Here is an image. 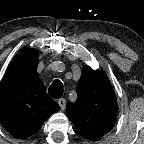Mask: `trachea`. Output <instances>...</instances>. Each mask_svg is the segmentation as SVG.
<instances>
[{
	"label": "trachea",
	"instance_id": "trachea-1",
	"mask_svg": "<svg viewBox=\"0 0 144 144\" xmlns=\"http://www.w3.org/2000/svg\"><path fill=\"white\" fill-rule=\"evenodd\" d=\"M48 93L54 99H58V98L62 97V95H63L62 82L58 79L54 80L48 89Z\"/></svg>",
	"mask_w": 144,
	"mask_h": 144
}]
</instances>
